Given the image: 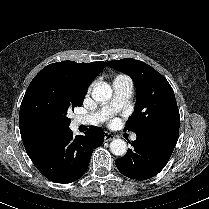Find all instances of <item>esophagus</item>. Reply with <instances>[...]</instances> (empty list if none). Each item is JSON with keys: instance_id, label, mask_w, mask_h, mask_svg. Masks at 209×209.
Listing matches in <instances>:
<instances>
[{"instance_id": "obj_1", "label": "esophagus", "mask_w": 209, "mask_h": 209, "mask_svg": "<svg viewBox=\"0 0 209 209\" xmlns=\"http://www.w3.org/2000/svg\"><path fill=\"white\" fill-rule=\"evenodd\" d=\"M113 139H114V136L112 134H110V133H105L104 134V141L105 142H109V141H111Z\"/></svg>"}]
</instances>
